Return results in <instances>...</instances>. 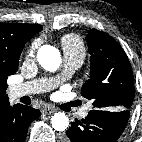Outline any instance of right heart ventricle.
Segmentation results:
<instances>
[{"label": "right heart ventricle", "instance_id": "1", "mask_svg": "<svg viewBox=\"0 0 142 142\" xmlns=\"http://www.w3.org/2000/svg\"><path fill=\"white\" fill-rule=\"evenodd\" d=\"M61 45L65 55L81 57L85 56V46L82 39L76 34H67L62 37Z\"/></svg>", "mask_w": 142, "mask_h": 142}]
</instances>
